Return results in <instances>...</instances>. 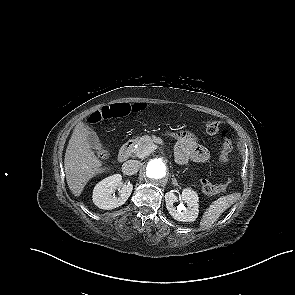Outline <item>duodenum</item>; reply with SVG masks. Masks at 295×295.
<instances>
[{"label":"duodenum","mask_w":295,"mask_h":295,"mask_svg":"<svg viewBox=\"0 0 295 295\" xmlns=\"http://www.w3.org/2000/svg\"><path fill=\"white\" fill-rule=\"evenodd\" d=\"M133 149V141H127L120 149L118 154V160L120 162L126 161L132 152Z\"/></svg>","instance_id":"duodenum-1"}]
</instances>
